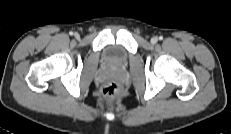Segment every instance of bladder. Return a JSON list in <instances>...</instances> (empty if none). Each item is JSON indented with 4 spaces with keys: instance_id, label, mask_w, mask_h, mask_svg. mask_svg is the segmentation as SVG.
Segmentation results:
<instances>
[{
    "instance_id": "31cf9c89",
    "label": "bladder",
    "mask_w": 231,
    "mask_h": 134,
    "mask_svg": "<svg viewBox=\"0 0 231 134\" xmlns=\"http://www.w3.org/2000/svg\"><path fill=\"white\" fill-rule=\"evenodd\" d=\"M104 60L114 66H123L127 63L128 53L119 45H108L103 51Z\"/></svg>"
}]
</instances>
